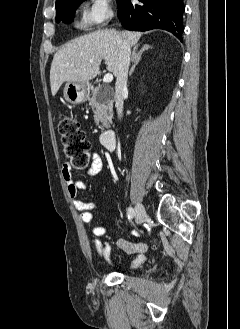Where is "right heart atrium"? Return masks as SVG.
Masks as SVG:
<instances>
[{
    "label": "right heart atrium",
    "mask_w": 240,
    "mask_h": 329,
    "mask_svg": "<svg viewBox=\"0 0 240 329\" xmlns=\"http://www.w3.org/2000/svg\"><path fill=\"white\" fill-rule=\"evenodd\" d=\"M113 16L111 0H89L83 12V24L97 28L105 24Z\"/></svg>",
    "instance_id": "right-heart-atrium-1"
}]
</instances>
